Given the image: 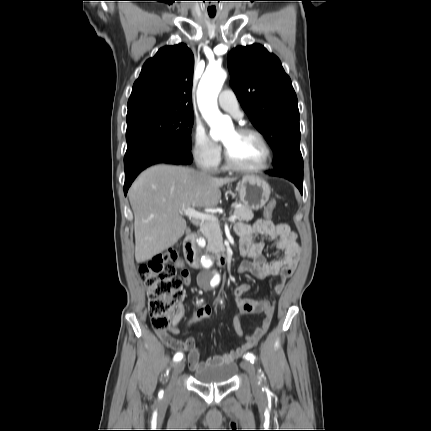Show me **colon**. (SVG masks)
Here are the masks:
<instances>
[{"label": "colon", "instance_id": "colon-1", "mask_svg": "<svg viewBox=\"0 0 431 431\" xmlns=\"http://www.w3.org/2000/svg\"><path fill=\"white\" fill-rule=\"evenodd\" d=\"M276 202L271 200L265 207V215L271 216ZM178 255L175 251H169L154 256L149 261L139 265L138 272L147 287L149 304L148 311L151 323L155 329L168 327L170 319L177 304L185 297L182 287V278L178 275L175 262ZM212 316L210 303L203 301L198 306L196 313H190L185 327L193 330L198 324H204ZM233 326L236 337L244 336L241 326L242 314L234 316Z\"/></svg>", "mask_w": 431, "mask_h": 431}]
</instances>
